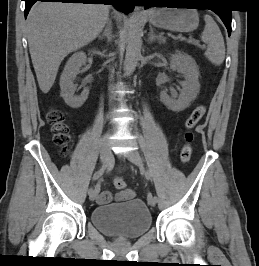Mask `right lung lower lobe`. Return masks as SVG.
Listing matches in <instances>:
<instances>
[{"mask_svg":"<svg viewBox=\"0 0 259 266\" xmlns=\"http://www.w3.org/2000/svg\"><path fill=\"white\" fill-rule=\"evenodd\" d=\"M24 1H25V17L28 15L30 8L36 1L114 5L117 10L122 11L126 14L129 13L134 6L131 0H24Z\"/></svg>","mask_w":259,"mask_h":266,"instance_id":"right-lung-lower-lobe-1","label":"right lung lower lobe"}]
</instances>
